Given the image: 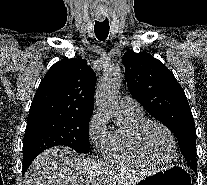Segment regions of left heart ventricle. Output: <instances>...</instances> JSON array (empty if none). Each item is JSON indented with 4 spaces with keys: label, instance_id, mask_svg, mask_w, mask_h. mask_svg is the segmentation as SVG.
<instances>
[{
    "label": "left heart ventricle",
    "instance_id": "b2bd125f",
    "mask_svg": "<svg viewBox=\"0 0 207 185\" xmlns=\"http://www.w3.org/2000/svg\"><path fill=\"white\" fill-rule=\"evenodd\" d=\"M145 142L149 152L157 159H169L173 153V143L170 136L156 125L148 128Z\"/></svg>",
    "mask_w": 207,
    "mask_h": 185
}]
</instances>
